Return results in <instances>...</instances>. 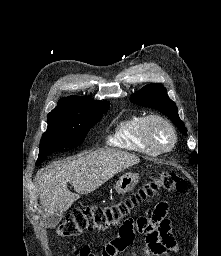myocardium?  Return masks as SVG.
<instances>
[{
    "mask_svg": "<svg viewBox=\"0 0 221 256\" xmlns=\"http://www.w3.org/2000/svg\"><path fill=\"white\" fill-rule=\"evenodd\" d=\"M155 122H160L163 123L165 126L168 127V129L170 130L171 134H172V141L170 143V145L166 146V147H160L158 146L152 136H151V126L155 123ZM142 136L144 141L156 152V153H164V152H168L171 149L174 148V146L177 143V132L176 129L174 127V125L171 123L170 120H168L166 117L162 116V115H158V114H152V115H148L144 118L143 121V126H142Z\"/></svg>",
    "mask_w": 221,
    "mask_h": 256,
    "instance_id": "myocardium-1",
    "label": "myocardium"
}]
</instances>
